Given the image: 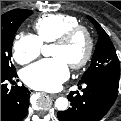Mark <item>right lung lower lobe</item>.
I'll return each mask as SVG.
<instances>
[{"label": "right lung lower lobe", "instance_id": "98d812e1", "mask_svg": "<svg viewBox=\"0 0 121 121\" xmlns=\"http://www.w3.org/2000/svg\"><path fill=\"white\" fill-rule=\"evenodd\" d=\"M15 77L16 73L1 74V121H21L28 112L29 90L24 86L7 88V82Z\"/></svg>", "mask_w": 121, "mask_h": 121}]
</instances>
